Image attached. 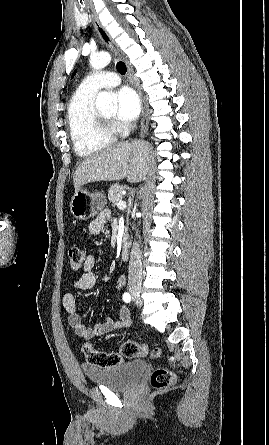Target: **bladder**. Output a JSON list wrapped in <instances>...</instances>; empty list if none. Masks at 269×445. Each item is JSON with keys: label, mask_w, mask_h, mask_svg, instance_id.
<instances>
[{"label": "bladder", "mask_w": 269, "mask_h": 445, "mask_svg": "<svg viewBox=\"0 0 269 445\" xmlns=\"http://www.w3.org/2000/svg\"><path fill=\"white\" fill-rule=\"evenodd\" d=\"M147 369L144 360L136 359L122 365L101 368L83 365L82 370L88 381L115 391H122L136 385Z\"/></svg>", "instance_id": "1"}]
</instances>
